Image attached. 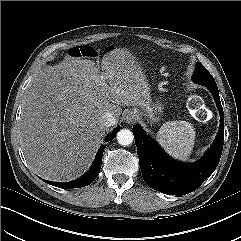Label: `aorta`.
<instances>
[{"label":"aorta","instance_id":"aorta-1","mask_svg":"<svg viewBox=\"0 0 241 241\" xmlns=\"http://www.w3.org/2000/svg\"><path fill=\"white\" fill-rule=\"evenodd\" d=\"M117 141L120 145L128 146L134 140L133 133L129 129H122L117 133Z\"/></svg>","mask_w":241,"mask_h":241}]
</instances>
